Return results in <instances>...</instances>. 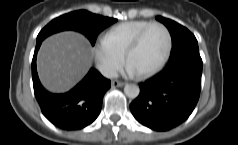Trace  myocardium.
<instances>
[{
    "instance_id": "myocardium-1",
    "label": "myocardium",
    "mask_w": 238,
    "mask_h": 145,
    "mask_svg": "<svg viewBox=\"0 0 238 145\" xmlns=\"http://www.w3.org/2000/svg\"><path fill=\"white\" fill-rule=\"evenodd\" d=\"M160 27L165 31L166 34V38H167V45H166V50L164 52V55L162 56V58L160 59V61L150 70L145 71L143 73H139V75L141 77H150L152 75H154L155 73H157L159 70L162 69V67L166 64V62L168 61L171 51H172V35L171 32L169 30V28L161 23V22H151L150 24H148L146 27H144L137 35L136 37L132 40V42L129 44V46L127 47L125 53H124V58L125 61L127 62L130 54L140 45V43L142 42L144 36L146 35V33L152 28V27Z\"/></svg>"
}]
</instances>
